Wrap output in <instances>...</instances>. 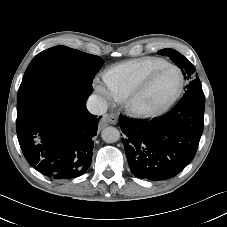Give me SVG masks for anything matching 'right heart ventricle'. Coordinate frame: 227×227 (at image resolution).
<instances>
[{
	"label": "right heart ventricle",
	"mask_w": 227,
	"mask_h": 227,
	"mask_svg": "<svg viewBox=\"0 0 227 227\" xmlns=\"http://www.w3.org/2000/svg\"><path fill=\"white\" fill-rule=\"evenodd\" d=\"M168 64L162 58L144 57L120 63L104 74V81L116 98L125 97L154 70Z\"/></svg>",
	"instance_id": "1"
}]
</instances>
